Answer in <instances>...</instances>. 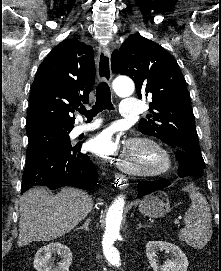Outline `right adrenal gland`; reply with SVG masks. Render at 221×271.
<instances>
[{
  "label": "right adrenal gland",
  "mask_w": 221,
  "mask_h": 271,
  "mask_svg": "<svg viewBox=\"0 0 221 271\" xmlns=\"http://www.w3.org/2000/svg\"><path fill=\"white\" fill-rule=\"evenodd\" d=\"M91 219L87 217L86 221H84L83 225H80V227H76V229H87L89 231V225H90Z\"/></svg>",
  "instance_id": "obj_1"
}]
</instances>
